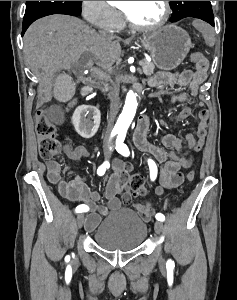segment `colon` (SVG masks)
Listing matches in <instances>:
<instances>
[{
  "instance_id": "1",
  "label": "colon",
  "mask_w": 237,
  "mask_h": 300,
  "mask_svg": "<svg viewBox=\"0 0 237 300\" xmlns=\"http://www.w3.org/2000/svg\"><path fill=\"white\" fill-rule=\"evenodd\" d=\"M194 26L204 35L208 45L215 44V36L210 26L197 19L194 21ZM194 64L205 65L207 59L203 54L195 53L191 57ZM36 133L38 137V150L42 159L52 160L62 153L63 145L58 139L54 126L48 121L43 111H39L37 115ZM195 177L194 172L187 174V180L192 181ZM126 186L134 193L145 196L146 188L144 178L139 174H128L126 176ZM153 210L149 207L145 208V214L149 217Z\"/></svg>"
}]
</instances>
